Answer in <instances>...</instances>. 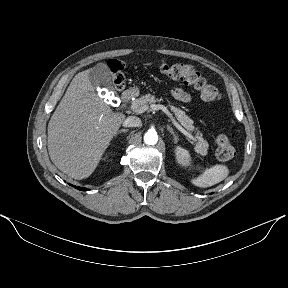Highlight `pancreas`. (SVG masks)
<instances>
[{
  "label": "pancreas",
  "mask_w": 288,
  "mask_h": 288,
  "mask_svg": "<svg viewBox=\"0 0 288 288\" xmlns=\"http://www.w3.org/2000/svg\"><path fill=\"white\" fill-rule=\"evenodd\" d=\"M161 100H162L161 98L160 99L155 98L154 95L146 94L134 100L132 103L143 108L148 107L149 105H152L156 102H160ZM170 109L176 116L177 120L181 123V125L185 127L188 131L193 132L194 130H197V128H195L193 125V120L188 115H186V113L183 110L172 105H170ZM207 150H208L207 141L204 140L202 134L199 131H197L195 151L198 154L205 156L207 155Z\"/></svg>",
  "instance_id": "obj_1"
}]
</instances>
